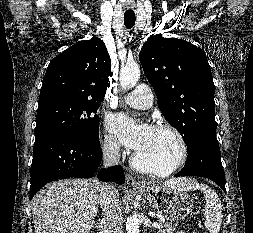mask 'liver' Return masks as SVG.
I'll list each match as a JSON object with an SVG mask.
<instances>
[{"label": "liver", "mask_w": 253, "mask_h": 233, "mask_svg": "<svg viewBox=\"0 0 253 233\" xmlns=\"http://www.w3.org/2000/svg\"><path fill=\"white\" fill-rule=\"evenodd\" d=\"M175 184L174 179L165 182L170 187ZM101 187L96 179H70L42 189L32 200L35 233H89Z\"/></svg>", "instance_id": "liver-1"}]
</instances>
